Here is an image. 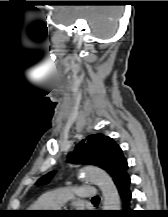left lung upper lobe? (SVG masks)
Listing matches in <instances>:
<instances>
[{"mask_svg":"<svg viewBox=\"0 0 168 217\" xmlns=\"http://www.w3.org/2000/svg\"><path fill=\"white\" fill-rule=\"evenodd\" d=\"M68 161L76 164H92L106 170L115 184L124 174L127 164L121 148L116 142L103 134L89 135L78 143L73 152L68 154ZM54 173L51 172L38 180L37 184L50 181Z\"/></svg>","mask_w":168,"mask_h":217,"instance_id":"5c2ea615","label":"left lung upper lobe"}]
</instances>
